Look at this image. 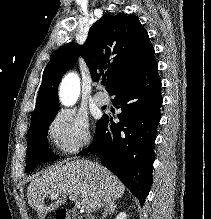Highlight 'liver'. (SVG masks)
<instances>
[{
  "label": "liver",
  "mask_w": 211,
  "mask_h": 219,
  "mask_svg": "<svg viewBox=\"0 0 211 219\" xmlns=\"http://www.w3.org/2000/svg\"><path fill=\"white\" fill-rule=\"evenodd\" d=\"M122 182L107 168L89 160H74L65 165H57L43 172L29 184L27 198L29 205L44 219L48 212L65 204L66 195L79 196L91 213L103 204L114 202L125 192ZM58 194L54 203L46 206L48 195Z\"/></svg>",
  "instance_id": "6515ba94"
}]
</instances>
